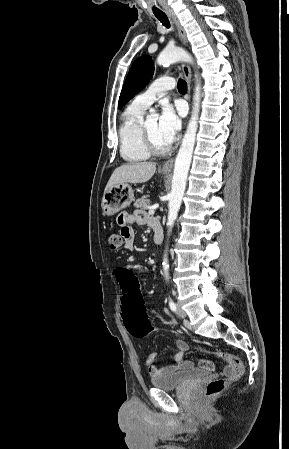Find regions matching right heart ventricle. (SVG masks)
<instances>
[{"mask_svg":"<svg viewBox=\"0 0 289 449\" xmlns=\"http://www.w3.org/2000/svg\"><path fill=\"white\" fill-rule=\"evenodd\" d=\"M145 109L130 104L122 114L119 127L120 154L129 162H138L149 158L142 138V116Z\"/></svg>","mask_w":289,"mask_h":449,"instance_id":"e07e8e85","label":"right heart ventricle"}]
</instances>
